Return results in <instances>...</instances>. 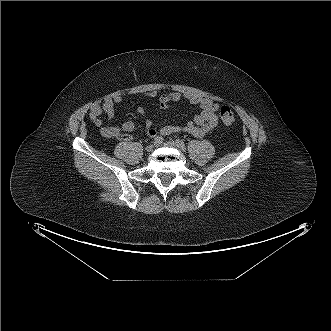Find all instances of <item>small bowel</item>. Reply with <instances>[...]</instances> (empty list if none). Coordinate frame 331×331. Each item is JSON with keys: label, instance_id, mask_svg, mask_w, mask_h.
<instances>
[{"label": "small bowel", "instance_id": "1", "mask_svg": "<svg viewBox=\"0 0 331 331\" xmlns=\"http://www.w3.org/2000/svg\"><path fill=\"white\" fill-rule=\"evenodd\" d=\"M143 98H156L158 106L162 110L170 108L171 103H175L184 98L192 105H197L201 112L194 116L193 120L183 126L179 125H165L156 129L153 126L152 120L148 117L147 111L144 107L138 106L137 112L145 117V129L148 136L156 138L157 136H166L178 132L188 133L194 137L201 138L212 133L218 124L217 111L219 103L198 95L185 94L181 95L178 92H158L148 91L140 94ZM123 100L121 95L106 97L101 103L93 105L90 111V119L95 126L101 127V133L108 138H117L121 140H130L131 133L135 125L132 121H125L118 127H102L103 121L101 119L104 113L108 119H112L115 114V105Z\"/></svg>", "mask_w": 331, "mask_h": 331}]
</instances>
